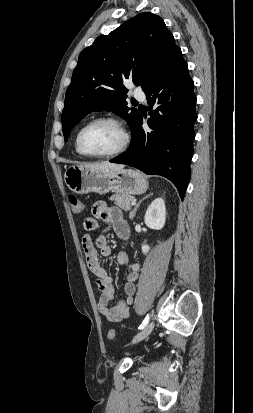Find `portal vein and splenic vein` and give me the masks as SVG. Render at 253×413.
Returning a JSON list of instances; mask_svg holds the SVG:
<instances>
[{
  "label": "portal vein and splenic vein",
  "instance_id": "obj_1",
  "mask_svg": "<svg viewBox=\"0 0 253 413\" xmlns=\"http://www.w3.org/2000/svg\"><path fill=\"white\" fill-rule=\"evenodd\" d=\"M135 202H136V201L134 200V201L132 202V205H134V204H135Z\"/></svg>",
  "mask_w": 253,
  "mask_h": 413
}]
</instances>
